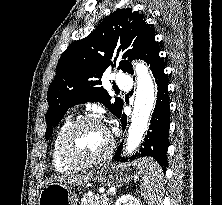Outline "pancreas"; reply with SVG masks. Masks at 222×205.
I'll list each match as a JSON object with an SVG mask.
<instances>
[{
	"label": "pancreas",
	"instance_id": "obj_1",
	"mask_svg": "<svg viewBox=\"0 0 222 205\" xmlns=\"http://www.w3.org/2000/svg\"><path fill=\"white\" fill-rule=\"evenodd\" d=\"M107 196H88L84 195L81 199V205H108Z\"/></svg>",
	"mask_w": 222,
	"mask_h": 205
}]
</instances>
